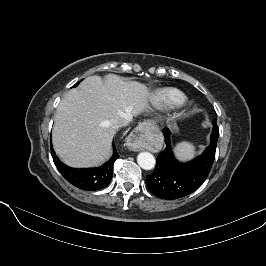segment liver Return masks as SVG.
I'll use <instances>...</instances> for the list:
<instances>
[{
	"mask_svg": "<svg viewBox=\"0 0 266 266\" xmlns=\"http://www.w3.org/2000/svg\"><path fill=\"white\" fill-rule=\"evenodd\" d=\"M149 98L146 85L124 81L116 74L104 79L97 75L85 78L57 107L52 131L54 150L72 167L102 164L112 153L116 131L112 119L147 111Z\"/></svg>",
	"mask_w": 266,
	"mask_h": 266,
	"instance_id": "liver-1",
	"label": "liver"
}]
</instances>
